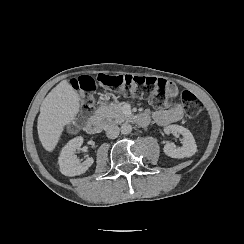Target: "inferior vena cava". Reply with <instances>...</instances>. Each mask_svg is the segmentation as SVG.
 Returning <instances> with one entry per match:
<instances>
[{
    "instance_id": "1",
    "label": "inferior vena cava",
    "mask_w": 244,
    "mask_h": 244,
    "mask_svg": "<svg viewBox=\"0 0 244 244\" xmlns=\"http://www.w3.org/2000/svg\"><path fill=\"white\" fill-rule=\"evenodd\" d=\"M120 129L117 125H111L106 128V136L110 139L118 137Z\"/></svg>"
}]
</instances>
